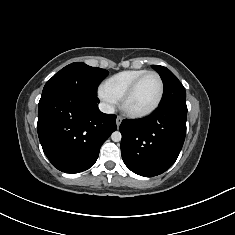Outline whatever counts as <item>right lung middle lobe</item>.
I'll return each instance as SVG.
<instances>
[{
  "label": "right lung middle lobe",
  "instance_id": "1",
  "mask_svg": "<svg viewBox=\"0 0 235 235\" xmlns=\"http://www.w3.org/2000/svg\"><path fill=\"white\" fill-rule=\"evenodd\" d=\"M108 74V71L91 67L83 62L67 65L56 73L44 86L42 95L71 90L77 93L97 97L98 84Z\"/></svg>",
  "mask_w": 235,
  "mask_h": 235
}]
</instances>
